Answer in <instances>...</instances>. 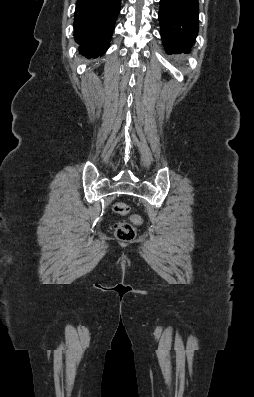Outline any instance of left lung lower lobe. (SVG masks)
Segmentation results:
<instances>
[{
  "label": "left lung lower lobe",
  "mask_w": 254,
  "mask_h": 397,
  "mask_svg": "<svg viewBox=\"0 0 254 397\" xmlns=\"http://www.w3.org/2000/svg\"><path fill=\"white\" fill-rule=\"evenodd\" d=\"M198 0H160L159 21L168 53H187L198 34Z\"/></svg>",
  "instance_id": "1"
}]
</instances>
